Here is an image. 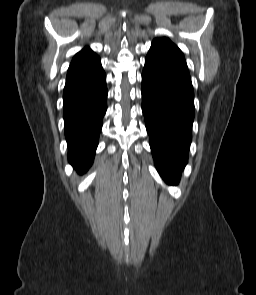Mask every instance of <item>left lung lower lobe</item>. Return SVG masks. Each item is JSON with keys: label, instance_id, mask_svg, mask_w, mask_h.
Instances as JSON below:
<instances>
[{"label": "left lung lower lobe", "instance_id": "1", "mask_svg": "<svg viewBox=\"0 0 256 295\" xmlns=\"http://www.w3.org/2000/svg\"><path fill=\"white\" fill-rule=\"evenodd\" d=\"M142 111L156 169L167 183L176 184L192 141L195 110L191 79L145 63Z\"/></svg>", "mask_w": 256, "mask_h": 295}]
</instances>
